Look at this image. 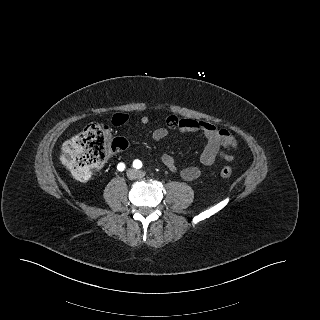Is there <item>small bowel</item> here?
<instances>
[{
    "label": "small bowel",
    "mask_w": 320,
    "mask_h": 320,
    "mask_svg": "<svg viewBox=\"0 0 320 320\" xmlns=\"http://www.w3.org/2000/svg\"><path fill=\"white\" fill-rule=\"evenodd\" d=\"M127 120L128 116L126 114H116L112 118L115 125H122ZM148 122L147 116L141 118L142 124L146 125ZM172 131L201 133L205 136L207 143L200 155V163L203 166H210L219 158L231 161L238 150V142L228 130L218 129L209 122L179 118L175 115L166 118V126L153 130L151 138L154 141H161ZM161 161L170 171H177L176 159L173 155L166 153L161 157ZM180 173L184 180L194 181L200 176L201 170L198 166L191 165L183 168Z\"/></svg>",
    "instance_id": "1"
}]
</instances>
